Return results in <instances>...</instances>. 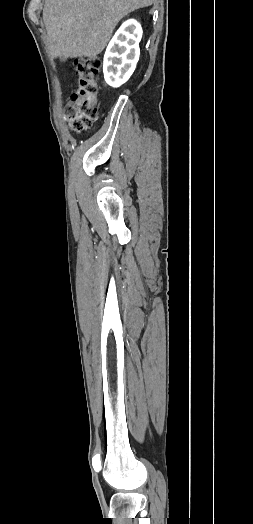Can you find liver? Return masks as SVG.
Returning a JSON list of instances; mask_svg holds the SVG:
<instances>
[{
  "mask_svg": "<svg viewBox=\"0 0 253 524\" xmlns=\"http://www.w3.org/2000/svg\"><path fill=\"white\" fill-rule=\"evenodd\" d=\"M154 0H46L43 20L52 58L95 57L127 14Z\"/></svg>",
  "mask_w": 253,
  "mask_h": 524,
  "instance_id": "1",
  "label": "liver"
}]
</instances>
